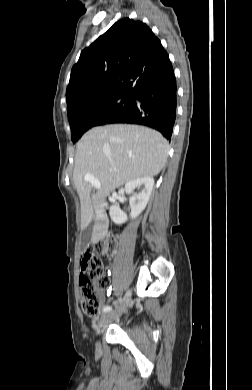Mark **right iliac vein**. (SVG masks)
I'll list each match as a JSON object with an SVG mask.
<instances>
[{
	"label": "right iliac vein",
	"mask_w": 252,
	"mask_h": 390,
	"mask_svg": "<svg viewBox=\"0 0 252 390\" xmlns=\"http://www.w3.org/2000/svg\"><path fill=\"white\" fill-rule=\"evenodd\" d=\"M130 300H131V291L128 290L123 298L121 305L118 306L115 310L109 312L108 314L102 317V319L100 320V322L97 324L95 328L96 332L99 333L107 324L119 318L127 310ZM97 346H99V342H97Z\"/></svg>",
	"instance_id": "right-iliac-vein-1"
}]
</instances>
